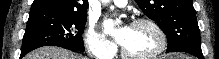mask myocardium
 <instances>
[{"label": "myocardium", "mask_w": 219, "mask_h": 59, "mask_svg": "<svg viewBox=\"0 0 219 59\" xmlns=\"http://www.w3.org/2000/svg\"><path fill=\"white\" fill-rule=\"evenodd\" d=\"M146 25L151 27L158 36V45L157 47L150 53L145 55H133L128 53L123 46L120 48L121 56L125 59H154L157 56L161 55L167 46V36L161 26L155 21L148 18L137 19L133 22L132 26H141Z\"/></svg>", "instance_id": "myocardium-1"}]
</instances>
